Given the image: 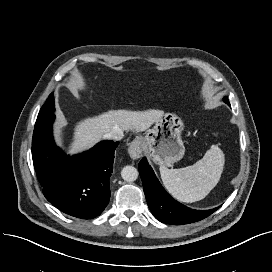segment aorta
<instances>
[{
  "mask_svg": "<svg viewBox=\"0 0 272 272\" xmlns=\"http://www.w3.org/2000/svg\"><path fill=\"white\" fill-rule=\"evenodd\" d=\"M122 178L127 182H133L138 178V170L133 166H125L121 171Z\"/></svg>",
  "mask_w": 272,
  "mask_h": 272,
  "instance_id": "1",
  "label": "aorta"
}]
</instances>
